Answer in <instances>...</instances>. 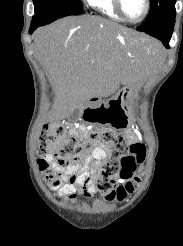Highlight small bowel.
<instances>
[{"label": "small bowel", "instance_id": "1", "mask_svg": "<svg viewBox=\"0 0 183 246\" xmlns=\"http://www.w3.org/2000/svg\"><path fill=\"white\" fill-rule=\"evenodd\" d=\"M84 132H86V128L81 126L79 133ZM127 140L129 144H135L138 140L137 135L128 131ZM107 152L106 145H97L91 152L92 162L83 168L63 166L55 160L53 155L46 156L49 169L45 171V177L51 189L69 201H74L78 194L86 198L92 197L96 192L95 180L98 177L100 164L107 157Z\"/></svg>", "mask_w": 183, "mask_h": 246}]
</instances>
